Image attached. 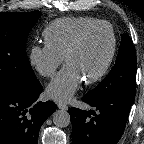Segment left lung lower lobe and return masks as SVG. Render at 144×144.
<instances>
[{
	"label": "left lung lower lobe",
	"mask_w": 144,
	"mask_h": 144,
	"mask_svg": "<svg viewBox=\"0 0 144 144\" xmlns=\"http://www.w3.org/2000/svg\"><path fill=\"white\" fill-rule=\"evenodd\" d=\"M135 97L107 93L99 96L88 94L82 101L94 107L86 111L70 108L73 144H117L128 119Z\"/></svg>",
	"instance_id": "left-lung-lower-lobe-1"
}]
</instances>
